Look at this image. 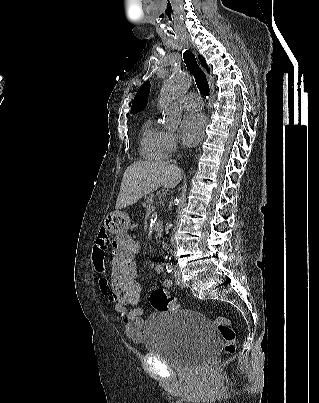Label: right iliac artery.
Wrapping results in <instances>:
<instances>
[{
  "label": "right iliac artery",
  "instance_id": "obj_1",
  "mask_svg": "<svg viewBox=\"0 0 319 403\" xmlns=\"http://www.w3.org/2000/svg\"><path fill=\"white\" fill-rule=\"evenodd\" d=\"M166 269H167V272H172V270H173V264L172 263H167L166 264Z\"/></svg>",
  "mask_w": 319,
  "mask_h": 403
}]
</instances>
